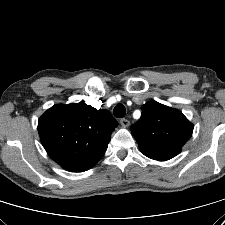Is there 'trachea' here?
Listing matches in <instances>:
<instances>
[{"instance_id":"trachea-1","label":"trachea","mask_w":225,"mask_h":225,"mask_svg":"<svg viewBox=\"0 0 225 225\" xmlns=\"http://www.w3.org/2000/svg\"><path fill=\"white\" fill-rule=\"evenodd\" d=\"M113 114L117 118H123L126 115V108L122 104H117L113 110Z\"/></svg>"}]
</instances>
